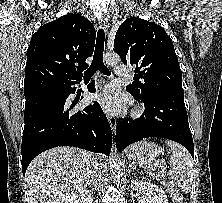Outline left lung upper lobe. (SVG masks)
Returning <instances> with one entry per match:
<instances>
[{
  "mask_svg": "<svg viewBox=\"0 0 222 203\" xmlns=\"http://www.w3.org/2000/svg\"><path fill=\"white\" fill-rule=\"evenodd\" d=\"M114 51L124 64L136 66V82L126 87L135 98L162 90L184 93L173 42L161 26L138 17L126 19L116 32Z\"/></svg>",
  "mask_w": 222,
  "mask_h": 203,
  "instance_id": "left-lung-upper-lobe-1",
  "label": "left lung upper lobe"
}]
</instances>
